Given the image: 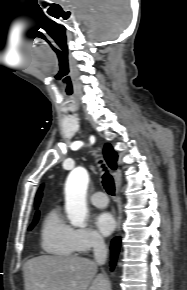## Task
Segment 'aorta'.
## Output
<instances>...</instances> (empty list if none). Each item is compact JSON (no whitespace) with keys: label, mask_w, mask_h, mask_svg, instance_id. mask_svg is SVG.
<instances>
[{"label":"aorta","mask_w":187,"mask_h":290,"mask_svg":"<svg viewBox=\"0 0 187 290\" xmlns=\"http://www.w3.org/2000/svg\"><path fill=\"white\" fill-rule=\"evenodd\" d=\"M89 183L88 172L81 167L71 171L65 184V208L68 219L74 227H86V194Z\"/></svg>","instance_id":"1"}]
</instances>
